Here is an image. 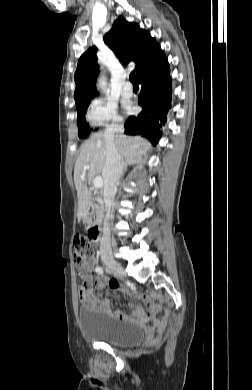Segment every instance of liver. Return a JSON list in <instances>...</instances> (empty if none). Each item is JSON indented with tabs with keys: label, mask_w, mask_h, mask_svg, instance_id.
I'll use <instances>...</instances> for the list:
<instances>
[{
	"label": "liver",
	"mask_w": 252,
	"mask_h": 390,
	"mask_svg": "<svg viewBox=\"0 0 252 390\" xmlns=\"http://www.w3.org/2000/svg\"><path fill=\"white\" fill-rule=\"evenodd\" d=\"M114 143L125 159H140L151 148V144L139 136L130 137L116 134ZM105 161L106 139L103 132H98L83 144L75 163L74 183L78 197V221L83 218L90 204V193L85 185L86 177L91 179L99 175L103 170ZM85 166L90 168L84 170Z\"/></svg>",
	"instance_id": "liver-1"
}]
</instances>
